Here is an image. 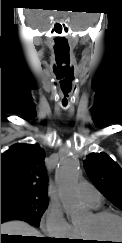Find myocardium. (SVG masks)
Listing matches in <instances>:
<instances>
[{"instance_id": "1", "label": "myocardium", "mask_w": 122, "mask_h": 243, "mask_svg": "<svg viewBox=\"0 0 122 243\" xmlns=\"http://www.w3.org/2000/svg\"><path fill=\"white\" fill-rule=\"evenodd\" d=\"M92 217L96 221H101L107 217H115V218L119 219L120 221H122V214H119V213L111 211V210H96V211L92 212ZM79 234L83 240L93 241L94 237H92L85 231L81 230L80 228H79Z\"/></svg>"}]
</instances>
